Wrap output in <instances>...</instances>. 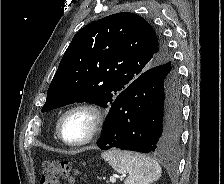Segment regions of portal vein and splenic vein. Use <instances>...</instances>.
I'll return each mask as SVG.
<instances>
[{"instance_id": "1", "label": "portal vein and splenic vein", "mask_w": 224, "mask_h": 184, "mask_svg": "<svg viewBox=\"0 0 224 184\" xmlns=\"http://www.w3.org/2000/svg\"><path fill=\"white\" fill-rule=\"evenodd\" d=\"M110 182L111 183H115L116 182V178L114 176L110 177Z\"/></svg>"}]
</instances>
